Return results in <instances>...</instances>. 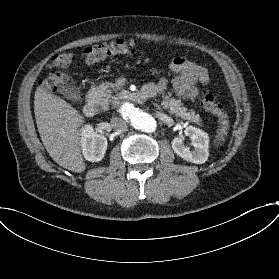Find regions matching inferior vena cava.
<instances>
[{
    "instance_id": "obj_1",
    "label": "inferior vena cava",
    "mask_w": 279,
    "mask_h": 279,
    "mask_svg": "<svg viewBox=\"0 0 279 279\" xmlns=\"http://www.w3.org/2000/svg\"><path fill=\"white\" fill-rule=\"evenodd\" d=\"M110 125L115 130H122L128 126L127 120L120 117H112L110 120Z\"/></svg>"
}]
</instances>
